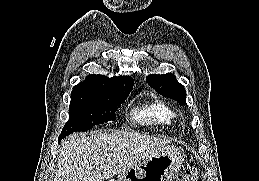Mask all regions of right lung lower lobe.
<instances>
[{
  "label": "right lung lower lobe",
  "instance_id": "obj_1",
  "mask_svg": "<svg viewBox=\"0 0 259 181\" xmlns=\"http://www.w3.org/2000/svg\"><path fill=\"white\" fill-rule=\"evenodd\" d=\"M61 139H63V138H62V137H59V138H58V141L60 142V141H61Z\"/></svg>",
  "mask_w": 259,
  "mask_h": 181
}]
</instances>
